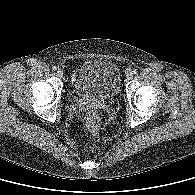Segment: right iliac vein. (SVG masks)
Returning <instances> with one entry per match:
<instances>
[{
  "label": "right iliac vein",
  "instance_id": "1",
  "mask_svg": "<svg viewBox=\"0 0 195 195\" xmlns=\"http://www.w3.org/2000/svg\"><path fill=\"white\" fill-rule=\"evenodd\" d=\"M57 75H58L59 77H62V76H63V71H62L61 69H58V70H57Z\"/></svg>",
  "mask_w": 195,
  "mask_h": 195
}]
</instances>
